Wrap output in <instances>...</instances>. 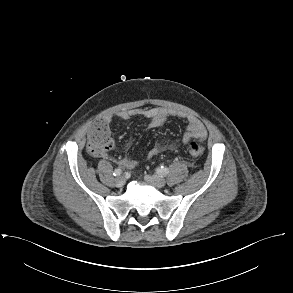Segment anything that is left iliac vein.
I'll return each instance as SVG.
<instances>
[{
	"label": "left iliac vein",
	"instance_id": "4c4485c4",
	"mask_svg": "<svg viewBox=\"0 0 293 293\" xmlns=\"http://www.w3.org/2000/svg\"><path fill=\"white\" fill-rule=\"evenodd\" d=\"M144 179L147 183L156 188H163L166 185L165 179L157 175H146Z\"/></svg>",
	"mask_w": 293,
	"mask_h": 293
}]
</instances>
